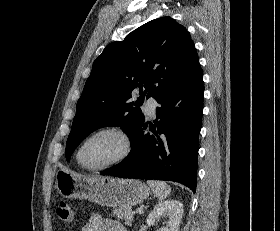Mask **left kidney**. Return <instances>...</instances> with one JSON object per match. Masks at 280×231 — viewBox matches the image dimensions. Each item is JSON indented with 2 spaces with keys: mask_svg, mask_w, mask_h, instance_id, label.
<instances>
[{
  "mask_svg": "<svg viewBox=\"0 0 280 231\" xmlns=\"http://www.w3.org/2000/svg\"><path fill=\"white\" fill-rule=\"evenodd\" d=\"M182 213L183 203L179 199H167L155 205L147 217V223L153 225L159 219H163L162 223L165 225L159 227L157 231H178Z\"/></svg>",
  "mask_w": 280,
  "mask_h": 231,
  "instance_id": "left-kidney-1",
  "label": "left kidney"
}]
</instances>
